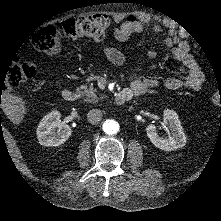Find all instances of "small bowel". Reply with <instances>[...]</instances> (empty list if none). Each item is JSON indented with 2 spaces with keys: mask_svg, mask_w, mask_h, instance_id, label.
I'll return each mask as SVG.
<instances>
[{
  "mask_svg": "<svg viewBox=\"0 0 221 221\" xmlns=\"http://www.w3.org/2000/svg\"><path fill=\"white\" fill-rule=\"evenodd\" d=\"M133 18L134 20L132 21H124V15L116 14L114 16V22L118 25L113 32L116 40L120 42L127 41L133 33L145 31L148 29L149 25H151L152 31H161V26L155 23L154 19L146 13L137 12L133 15ZM163 44L171 56L181 64L178 69L179 73H187L184 78L171 77L165 79L163 81L165 88L173 91L181 88L198 91L203 84L204 75L196 60L190 54L189 43L187 41L179 42L178 36L171 32L164 39ZM102 51L105 57L114 65L120 66L125 63L124 54L117 48L105 46ZM156 56L157 53L155 48L149 46L145 53V59L151 61L155 59ZM128 79L130 89L126 90L131 92L132 96H140L144 94L148 88H153L161 84L159 78L147 75L137 76L136 74H131Z\"/></svg>",
  "mask_w": 221,
  "mask_h": 221,
  "instance_id": "obj_1",
  "label": "small bowel"
}]
</instances>
